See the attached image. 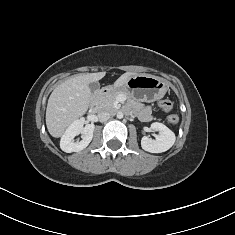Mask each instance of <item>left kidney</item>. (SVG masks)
Instances as JSON below:
<instances>
[{"instance_id": "obj_1", "label": "left kidney", "mask_w": 235, "mask_h": 235, "mask_svg": "<svg viewBox=\"0 0 235 235\" xmlns=\"http://www.w3.org/2000/svg\"><path fill=\"white\" fill-rule=\"evenodd\" d=\"M151 129L158 131L155 139L144 136L141 140L142 148L150 153H162L170 149L176 140L175 134L164 124L154 122Z\"/></svg>"}]
</instances>
